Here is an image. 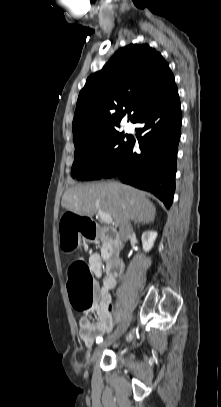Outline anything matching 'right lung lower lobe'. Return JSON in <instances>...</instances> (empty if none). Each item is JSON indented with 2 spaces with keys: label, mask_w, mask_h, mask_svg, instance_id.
I'll return each instance as SVG.
<instances>
[{
  "label": "right lung lower lobe",
  "mask_w": 221,
  "mask_h": 407,
  "mask_svg": "<svg viewBox=\"0 0 221 407\" xmlns=\"http://www.w3.org/2000/svg\"><path fill=\"white\" fill-rule=\"evenodd\" d=\"M181 105L175 86L162 100L141 113L133 123H142L144 133L134 151L135 140L119 162L102 178L118 175L122 182L152 192L169 208L175 191L177 147L181 135Z\"/></svg>",
  "instance_id": "1"
}]
</instances>
